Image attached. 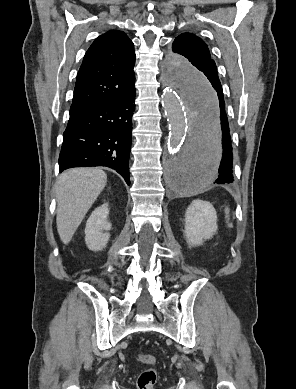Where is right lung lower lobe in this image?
I'll list each match as a JSON object with an SVG mask.
<instances>
[{
	"label": "right lung lower lobe",
	"instance_id": "1",
	"mask_svg": "<svg viewBox=\"0 0 296 389\" xmlns=\"http://www.w3.org/2000/svg\"><path fill=\"white\" fill-rule=\"evenodd\" d=\"M134 82L120 97L70 115L59 156L60 172L72 167L106 166L130 185Z\"/></svg>",
	"mask_w": 296,
	"mask_h": 389
}]
</instances>
